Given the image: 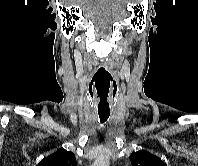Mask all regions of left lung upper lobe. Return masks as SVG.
I'll list each match as a JSON object with an SVG mask.
<instances>
[{
  "instance_id": "obj_1",
  "label": "left lung upper lobe",
  "mask_w": 198,
  "mask_h": 166,
  "mask_svg": "<svg viewBox=\"0 0 198 166\" xmlns=\"http://www.w3.org/2000/svg\"><path fill=\"white\" fill-rule=\"evenodd\" d=\"M130 160L132 166H166L160 158L145 150L133 152Z\"/></svg>"
}]
</instances>
